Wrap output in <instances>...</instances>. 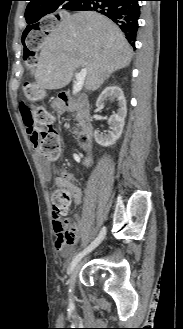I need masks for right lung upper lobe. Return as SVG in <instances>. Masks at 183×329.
<instances>
[{"label": "right lung upper lobe", "mask_w": 183, "mask_h": 329, "mask_svg": "<svg viewBox=\"0 0 183 329\" xmlns=\"http://www.w3.org/2000/svg\"><path fill=\"white\" fill-rule=\"evenodd\" d=\"M30 3L27 6V9L25 11V18L27 22H30L31 20L35 19L37 16L44 14L45 10L49 8L53 3L57 1H62V0H29ZM35 23V22H31ZM29 25L27 27L30 28Z\"/></svg>", "instance_id": "right-lung-upper-lobe-1"}]
</instances>
